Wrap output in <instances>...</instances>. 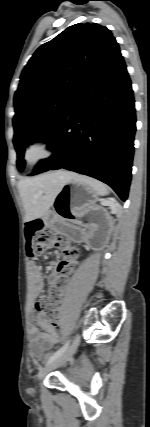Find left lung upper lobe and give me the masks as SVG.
Instances as JSON below:
<instances>
[{"label":"left lung upper lobe","instance_id":"1","mask_svg":"<svg viewBox=\"0 0 150 427\" xmlns=\"http://www.w3.org/2000/svg\"><path fill=\"white\" fill-rule=\"evenodd\" d=\"M118 50L111 31L96 23L74 24L36 50L14 96L13 143L20 171L24 149L51 135L87 81Z\"/></svg>","mask_w":150,"mask_h":427}]
</instances>
